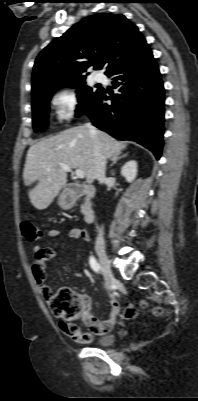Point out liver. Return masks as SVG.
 I'll use <instances>...</instances> for the list:
<instances>
[{
  "label": "liver",
  "mask_w": 198,
  "mask_h": 401,
  "mask_svg": "<svg viewBox=\"0 0 198 401\" xmlns=\"http://www.w3.org/2000/svg\"><path fill=\"white\" fill-rule=\"evenodd\" d=\"M96 136L106 159L118 157L127 146L125 142L117 141L101 130H96ZM59 163L81 169L85 173L86 182L88 184L94 182L93 138L86 126L64 130L29 148L23 179L26 186L38 181L28 194L32 205L39 210L46 209L60 190L66 186L67 173L59 166ZM48 168L50 170H47Z\"/></svg>",
  "instance_id": "6515ba94"
}]
</instances>
